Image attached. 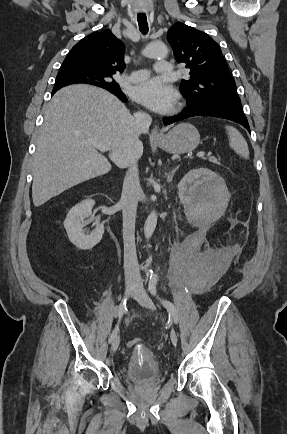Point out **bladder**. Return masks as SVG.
Segmentation results:
<instances>
[{"instance_id": "1", "label": "bladder", "mask_w": 287, "mask_h": 434, "mask_svg": "<svg viewBox=\"0 0 287 434\" xmlns=\"http://www.w3.org/2000/svg\"><path fill=\"white\" fill-rule=\"evenodd\" d=\"M122 379L132 383H151L160 378V365L151 352H133L120 370Z\"/></svg>"}]
</instances>
